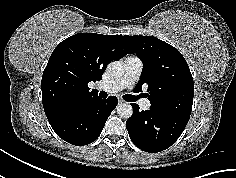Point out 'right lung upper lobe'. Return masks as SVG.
<instances>
[{"label": "right lung upper lobe", "instance_id": "1", "mask_svg": "<svg viewBox=\"0 0 236 178\" xmlns=\"http://www.w3.org/2000/svg\"><path fill=\"white\" fill-rule=\"evenodd\" d=\"M132 52L122 35L78 33L62 41L52 52L42 76V102L48 121L98 99L88 83L101 80L109 62Z\"/></svg>", "mask_w": 236, "mask_h": 178}]
</instances>
